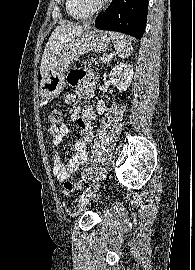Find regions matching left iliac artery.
I'll use <instances>...</instances> for the list:
<instances>
[{
	"mask_svg": "<svg viewBox=\"0 0 195 270\" xmlns=\"http://www.w3.org/2000/svg\"><path fill=\"white\" fill-rule=\"evenodd\" d=\"M90 187H88L79 197V201L87 194V192H89Z\"/></svg>",
	"mask_w": 195,
	"mask_h": 270,
	"instance_id": "1",
	"label": "left iliac artery"
}]
</instances>
